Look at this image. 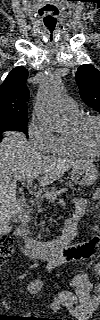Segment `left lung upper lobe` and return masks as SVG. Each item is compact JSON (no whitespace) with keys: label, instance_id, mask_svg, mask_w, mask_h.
Instances as JSON below:
<instances>
[{"label":"left lung upper lobe","instance_id":"1","mask_svg":"<svg viewBox=\"0 0 100 320\" xmlns=\"http://www.w3.org/2000/svg\"><path fill=\"white\" fill-rule=\"evenodd\" d=\"M75 78L82 100L100 112V71L92 65H81Z\"/></svg>","mask_w":100,"mask_h":320}]
</instances>
